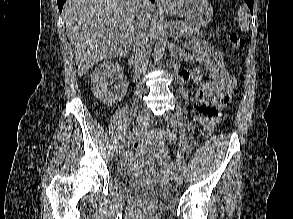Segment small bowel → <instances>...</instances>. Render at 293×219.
<instances>
[{"label":"small bowel","instance_id":"small-bowel-1","mask_svg":"<svg viewBox=\"0 0 293 219\" xmlns=\"http://www.w3.org/2000/svg\"><path fill=\"white\" fill-rule=\"evenodd\" d=\"M189 49L193 51L198 60L207 68L211 81L202 84L200 88L191 96L190 100L197 111L194 120L202 125L212 124L215 126L220 120L219 110L226 106L231 98V93L236 87V79L228 73L223 65L216 60H211L210 49L203 42H192ZM191 78L189 71L183 70L179 73V81L186 82ZM205 108L203 112L200 109ZM156 135L149 134L140 141L132 138L130 143L134 150L139 151L145 145L151 143Z\"/></svg>","mask_w":293,"mask_h":219}]
</instances>
